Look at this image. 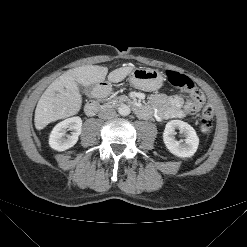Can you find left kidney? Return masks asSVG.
I'll use <instances>...</instances> for the list:
<instances>
[{
    "label": "left kidney",
    "mask_w": 247,
    "mask_h": 247,
    "mask_svg": "<svg viewBox=\"0 0 247 247\" xmlns=\"http://www.w3.org/2000/svg\"><path fill=\"white\" fill-rule=\"evenodd\" d=\"M175 129L181 131L184 140L175 139ZM163 141L169 152L181 158L193 156L199 145V138L194 128L181 120H171L166 124Z\"/></svg>",
    "instance_id": "obj_1"
}]
</instances>
